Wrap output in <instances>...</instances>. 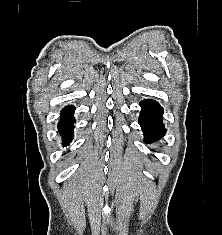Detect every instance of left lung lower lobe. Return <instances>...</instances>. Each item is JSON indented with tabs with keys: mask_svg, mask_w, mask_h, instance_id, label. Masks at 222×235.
Returning <instances> with one entry per match:
<instances>
[{
	"mask_svg": "<svg viewBox=\"0 0 222 235\" xmlns=\"http://www.w3.org/2000/svg\"><path fill=\"white\" fill-rule=\"evenodd\" d=\"M141 113L138 123L144 132L146 144L159 140L166 132L162 124L163 109L153 100L140 103Z\"/></svg>",
	"mask_w": 222,
	"mask_h": 235,
	"instance_id": "obj_1",
	"label": "left lung lower lobe"
}]
</instances>
